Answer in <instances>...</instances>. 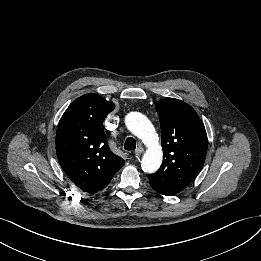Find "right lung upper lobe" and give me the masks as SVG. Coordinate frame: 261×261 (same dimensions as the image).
Returning <instances> with one entry per match:
<instances>
[{
    "mask_svg": "<svg viewBox=\"0 0 261 261\" xmlns=\"http://www.w3.org/2000/svg\"><path fill=\"white\" fill-rule=\"evenodd\" d=\"M115 108L95 93L73 101L61 117L56 133L58 162L83 192L104 189L124 160L109 148L103 128L105 117Z\"/></svg>",
    "mask_w": 261,
    "mask_h": 261,
    "instance_id": "obj_1",
    "label": "right lung upper lobe"
}]
</instances>
